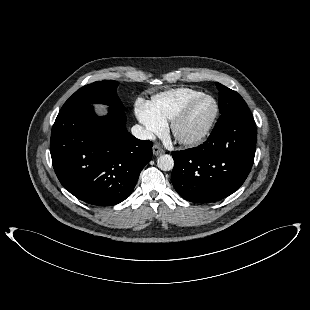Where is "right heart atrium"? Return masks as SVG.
I'll list each match as a JSON object with an SVG mask.
<instances>
[{
  "label": "right heart atrium",
  "instance_id": "d8ad5b80",
  "mask_svg": "<svg viewBox=\"0 0 310 310\" xmlns=\"http://www.w3.org/2000/svg\"><path fill=\"white\" fill-rule=\"evenodd\" d=\"M136 115L144 125L149 137L162 134L166 128V122L162 121L151 109L149 103L140 102L136 107Z\"/></svg>",
  "mask_w": 310,
  "mask_h": 310
}]
</instances>
